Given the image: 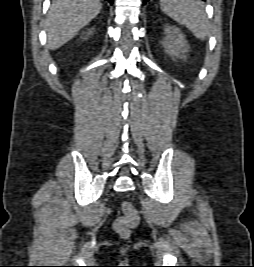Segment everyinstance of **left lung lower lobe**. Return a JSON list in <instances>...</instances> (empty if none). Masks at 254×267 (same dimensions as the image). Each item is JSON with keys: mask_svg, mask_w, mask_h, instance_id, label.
Returning a JSON list of instances; mask_svg holds the SVG:
<instances>
[{"mask_svg": "<svg viewBox=\"0 0 254 267\" xmlns=\"http://www.w3.org/2000/svg\"><path fill=\"white\" fill-rule=\"evenodd\" d=\"M147 1H149V0H143V4H145Z\"/></svg>", "mask_w": 254, "mask_h": 267, "instance_id": "1", "label": "left lung lower lobe"}]
</instances>
